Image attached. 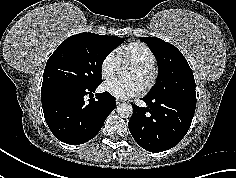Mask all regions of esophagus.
Masks as SVG:
<instances>
[{"instance_id": "obj_1", "label": "esophagus", "mask_w": 236, "mask_h": 178, "mask_svg": "<svg viewBox=\"0 0 236 178\" xmlns=\"http://www.w3.org/2000/svg\"><path fill=\"white\" fill-rule=\"evenodd\" d=\"M123 101L119 100V99H116V104H120L122 103Z\"/></svg>"}]
</instances>
